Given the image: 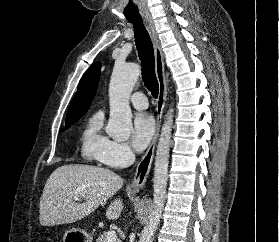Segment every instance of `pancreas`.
Instances as JSON below:
<instances>
[{
	"mask_svg": "<svg viewBox=\"0 0 279 242\" xmlns=\"http://www.w3.org/2000/svg\"><path fill=\"white\" fill-rule=\"evenodd\" d=\"M107 233L106 232H103L97 239H96V242H107ZM115 242H120L118 239H116Z\"/></svg>",
	"mask_w": 279,
	"mask_h": 242,
	"instance_id": "pancreas-1",
	"label": "pancreas"
}]
</instances>
